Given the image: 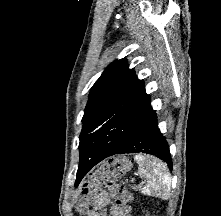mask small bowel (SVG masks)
I'll list each match as a JSON object with an SVG mask.
<instances>
[{
	"label": "small bowel",
	"mask_w": 221,
	"mask_h": 216,
	"mask_svg": "<svg viewBox=\"0 0 221 216\" xmlns=\"http://www.w3.org/2000/svg\"><path fill=\"white\" fill-rule=\"evenodd\" d=\"M110 208V216H124L117 204L112 200V197L107 192H101L98 196L93 210L88 216H109L106 212V207Z\"/></svg>",
	"instance_id": "1"
}]
</instances>
